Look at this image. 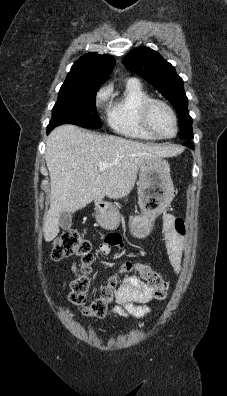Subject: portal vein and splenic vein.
<instances>
[{"label":"portal vein and splenic vein","instance_id":"obj_1","mask_svg":"<svg viewBox=\"0 0 227 396\" xmlns=\"http://www.w3.org/2000/svg\"><path fill=\"white\" fill-rule=\"evenodd\" d=\"M111 166V164H108V163H99L98 164V169L100 170V171H103V170H105L107 167H110Z\"/></svg>","mask_w":227,"mask_h":396}]
</instances>
